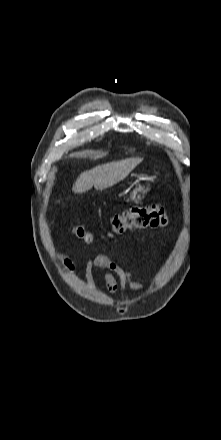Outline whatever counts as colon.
Segmentation results:
<instances>
[{
	"instance_id": "colon-1",
	"label": "colon",
	"mask_w": 221,
	"mask_h": 440,
	"mask_svg": "<svg viewBox=\"0 0 221 440\" xmlns=\"http://www.w3.org/2000/svg\"><path fill=\"white\" fill-rule=\"evenodd\" d=\"M168 217L161 206H135L115 215L106 230L108 236L121 235L131 230L164 228ZM75 235L87 242L93 240L92 233L83 225H76Z\"/></svg>"
}]
</instances>
